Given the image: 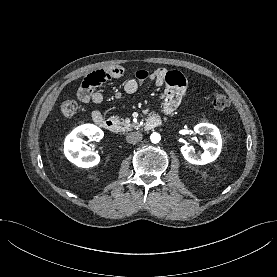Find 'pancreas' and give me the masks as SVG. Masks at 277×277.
<instances>
[{
	"mask_svg": "<svg viewBox=\"0 0 277 277\" xmlns=\"http://www.w3.org/2000/svg\"><path fill=\"white\" fill-rule=\"evenodd\" d=\"M112 119L119 125L122 132L130 131L133 128L135 129L140 128L139 124H130L118 116H113Z\"/></svg>",
	"mask_w": 277,
	"mask_h": 277,
	"instance_id": "pancreas-1",
	"label": "pancreas"
}]
</instances>
